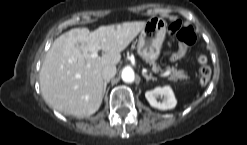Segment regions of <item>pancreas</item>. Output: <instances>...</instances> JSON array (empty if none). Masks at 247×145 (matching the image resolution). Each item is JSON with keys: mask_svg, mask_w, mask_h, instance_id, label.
<instances>
[{"mask_svg": "<svg viewBox=\"0 0 247 145\" xmlns=\"http://www.w3.org/2000/svg\"><path fill=\"white\" fill-rule=\"evenodd\" d=\"M167 70H170L171 72L170 78L174 81L178 79L184 80L188 78V76L185 74L183 70H177L176 68H170V67H168Z\"/></svg>", "mask_w": 247, "mask_h": 145, "instance_id": "cf45deb5", "label": "pancreas"}]
</instances>
